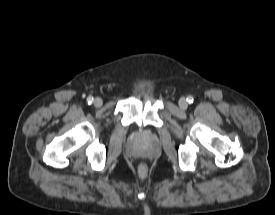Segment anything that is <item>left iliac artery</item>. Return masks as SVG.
<instances>
[{
    "label": "left iliac artery",
    "mask_w": 275,
    "mask_h": 215,
    "mask_svg": "<svg viewBox=\"0 0 275 215\" xmlns=\"http://www.w3.org/2000/svg\"><path fill=\"white\" fill-rule=\"evenodd\" d=\"M193 100H194V99H193L192 96H188V97H187V101H188L189 103H193Z\"/></svg>",
    "instance_id": "44dca946"
}]
</instances>
